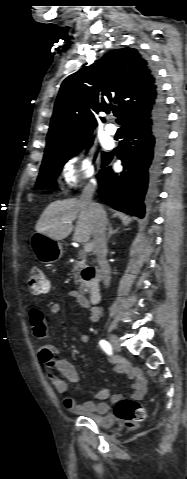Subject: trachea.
<instances>
[{
	"label": "trachea",
	"instance_id": "trachea-1",
	"mask_svg": "<svg viewBox=\"0 0 187 479\" xmlns=\"http://www.w3.org/2000/svg\"><path fill=\"white\" fill-rule=\"evenodd\" d=\"M117 114H118V112H117V111H115V112H114V115L116 116Z\"/></svg>",
	"mask_w": 187,
	"mask_h": 479
}]
</instances>
